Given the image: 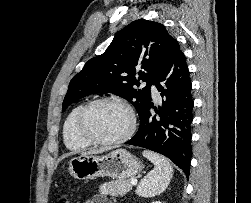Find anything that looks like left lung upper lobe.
<instances>
[{"instance_id": "5c2ea615", "label": "left lung upper lobe", "mask_w": 251, "mask_h": 203, "mask_svg": "<svg viewBox=\"0 0 251 203\" xmlns=\"http://www.w3.org/2000/svg\"><path fill=\"white\" fill-rule=\"evenodd\" d=\"M175 39L164 25L139 19L122 29L106 51L90 59L70 81L62 111L76 100L94 93H113L129 101L139 116L151 99L150 87ZM146 82L135 89L139 81Z\"/></svg>"}]
</instances>
